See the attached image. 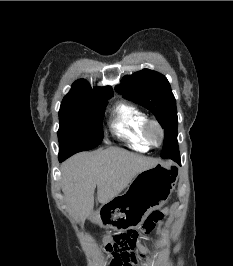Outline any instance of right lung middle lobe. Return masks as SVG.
Returning <instances> with one entry per match:
<instances>
[{
    "mask_svg": "<svg viewBox=\"0 0 233 266\" xmlns=\"http://www.w3.org/2000/svg\"><path fill=\"white\" fill-rule=\"evenodd\" d=\"M62 102L59 111V157L98 146L103 139L102 119L107 99Z\"/></svg>",
    "mask_w": 233,
    "mask_h": 266,
    "instance_id": "dd1d6c3e",
    "label": "right lung middle lobe"
}]
</instances>
